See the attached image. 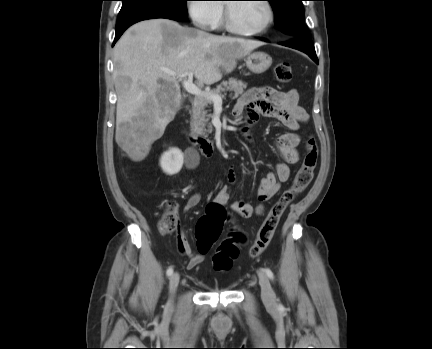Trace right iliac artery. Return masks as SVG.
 <instances>
[{
	"label": "right iliac artery",
	"mask_w": 432,
	"mask_h": 349,
	"mask_svg": "<svg viewBox=\"0 0 432 349\" xmlns=\"http://www.w3.org/2000/svg\"><path fill=\"white\" fill-rule=\"evenodd\" d=\"M166 274L168 277H170L173 274V268L172 267L168 268Z\"/></svg>",
	"instance_id": "obj_1"
}]
</instances>
